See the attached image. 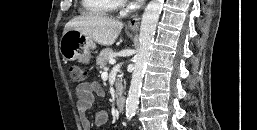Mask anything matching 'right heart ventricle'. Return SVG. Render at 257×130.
<instances>
[{
    "mask_svg": "<svg viewBox=\"0 0 257 130\" xmlns=\"http://www.w3.org/2000/svg\"><path fill=\"white\" fill-rule=\"evenodd\" d=\"M119 0H81L85 13L97 16L111 14L119 6Z\"/></svg>",
    "mask_w": 257,
    "mask_h": 130,
    "instance_id": "obj_1",
    "label": "right heart ventricle"
}]
</instances>
